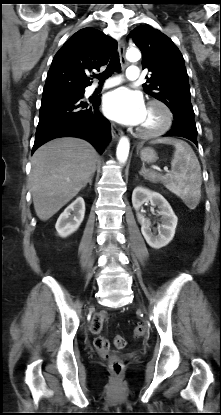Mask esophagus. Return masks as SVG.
<instances>
[{
	"label": "esophagus",
	"instance_id": "obj_1",
	"mask_svg": "<svg viewBox=\"0 0 221 415\" xmlns=\"http://www.w3.org/2000/svg\"><path fill=\"white\" fill-rule=\"evenodd\" d=\"M118 53H119V56H120L121 63L125 64L126 63L125 44L122 40L118 44ZM122 135H123V132L121 130H119L116 127L112 126V136H113L114 139H118Z\"/></svg>",
	"mask_w": 221,
	"mask_h": 415
}]
</instances>
